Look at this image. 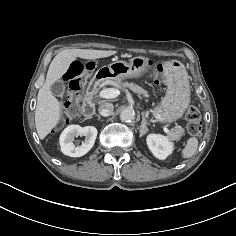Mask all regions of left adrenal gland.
<instances>
[{"instance_id": "a2214340", "label": "left adrenal gland", "mask_w": 236, "mask_h": 236, "mask_svg": "<svg viewBox=\"0 0 236 236\" xmlns=\"http://www.w3.org/2000/svg\"><path fill=\"white\" fill-rule=\"evenodd\" d=\"M147 124V120L145 119L144 114L142 113V122L139 128L140 133H142L147 128Z\"/></svg>"}]
</instances>
